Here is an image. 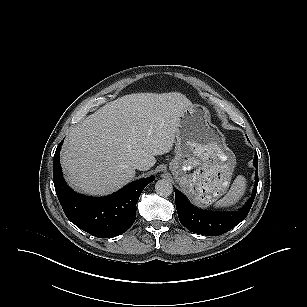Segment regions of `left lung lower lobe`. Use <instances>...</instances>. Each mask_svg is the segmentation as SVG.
I'll use <instances>...</instances> for the list:
<instances>
[{
    "label": "left lung lower lobe",
    "instance_id": "left-lung-lower-lobe-1",
    "mask_svg": "<svg viewBox=\"0 0 307 307\" xmlns=\"http://www.w3.org/2000/svg\"><path fill=\"white\" fill-rule=\"evenodd\" d=\"M253 164L256 168L255 185L250 199L245 206L233 212L204 211L192 206L186 197L175 191L176 209L181 224L189 231L206 235H221L238 225L248 215L253 204L258 185V156L255 154Z\"/></svg>",
    "mask_w": 307,
    "mask_h": 307
}]
</instances>
